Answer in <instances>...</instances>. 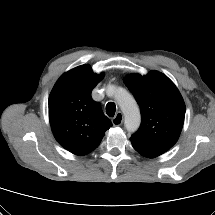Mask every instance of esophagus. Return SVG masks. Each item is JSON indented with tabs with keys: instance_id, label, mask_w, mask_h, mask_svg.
I'll use <instances>...</instances> for the list:
<instances>
[{
	"instance_id": "obj_1",
	"label": "esophagus",
	"mask_w": 215,
	"mask_h": 215,
	"mask_svg": "<svg viewBox=\"0 0 215 215\" xmlns=\"http://www.w3.org/2000/svg\"><path fill=\"white\" fill-rule=\"evenodd\" d=\"M123 114L122 112H117L115 117L112 119V123L114 126H120L123 123Z\"/></svg>"
}]
</instances>
